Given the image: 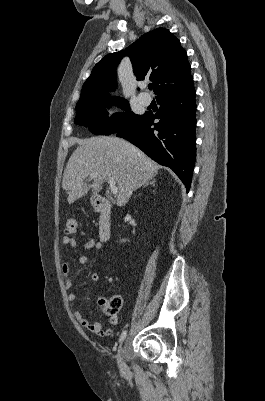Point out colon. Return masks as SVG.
Returning a JSON list of instances; mask_svg holds the SVG:
<instances>
[{
	"label": "colon",
	"instance_id": "1",
	"mask_svg": "<svg viewBox=\"0 0 265 401\" xmlns=\"http://www.w3.org/2000/svg\"><path fill=\"white\" fill-rule=\"evenodd\" d=\"M77 227V220L75 218H69L65 225V231L67 234H74L77 231ZM99 304L105 313L114 316L119 312L122 300L119 296H113L108 299H102Z\"/></svg>",
	"mask_w": 265,
	"mask_h": 401
}]
</instances>
